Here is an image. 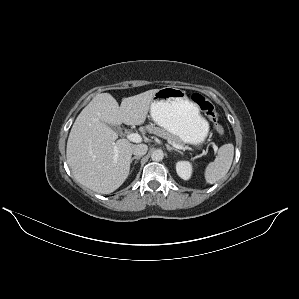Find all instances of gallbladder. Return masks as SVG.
<instances>
[{"mask_svg":"<svg viewBox=\"0 0 299 299\" xmlns=\"http://www.w3.org/2000/svg\"><path fill=\"white\" fill-rule=\"evenodd\" d=\"M108 127L110 128H114L113 125L109 124V123H105Z\"/></svg>","mask_w":299,"mask_h":299,"instance_id":"obj_1","label":"gallbladder"}]
</instances>
